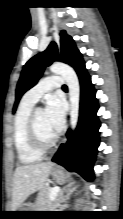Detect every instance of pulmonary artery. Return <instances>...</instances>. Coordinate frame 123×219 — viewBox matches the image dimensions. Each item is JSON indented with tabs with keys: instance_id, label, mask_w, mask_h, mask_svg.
Masks as SVG:
<instances>
[{
	"instance_id": "1",
	"label": "pulmonary artery",
	"mask_w": 123,
	"mask_h": 219,
	"mask_svg": "<svg viewBox=\"0 0 123 219\" xmlns=\"http://www.w3.org/2000/svg\"><path fill=\"white\" fill-rule=\"evenodd\" d=\"M64 80L61 76H49L42 79L38 84L28 90L24 96L23 101L34 105L39 99L48 91L59 88L63 85Z\"/></svg>"
}]
</instances>
